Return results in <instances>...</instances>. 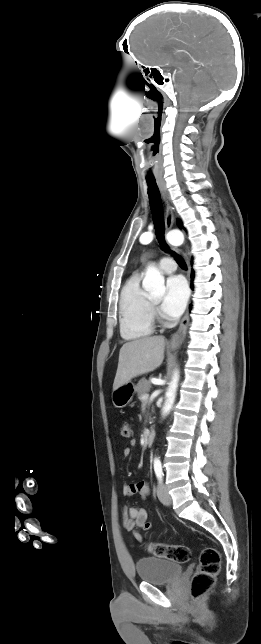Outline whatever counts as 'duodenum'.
Wrapping results in <instances>:
<instances>
[{
    "mask_svg": "<svg viewBox=\"0 0 261 644\" xmlns=\"http://www.w3.org/2000/svg\"><path fill=\"white\" fill-rule=\"evenodd\" d=\"M154 440H155V431L150 430L146 435V444H147V446H151L154 443Z\"/></svg>",
    "mask_w": 261,
    "mask_h": 644,
    "instance_id": "duodenum-1",
    "label": "duodenum"
}]
</instances>
